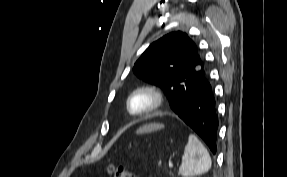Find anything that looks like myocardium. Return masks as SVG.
I'll return each instance as SVG.
<instances>
[{
    "label": "myocardium",
    "mask_w": 287,
    "mask_h": 177,
    "mask_svg": "<svg viewBox=\"0 0 287 177\" xmlns=\"http://www.w3.org/2000/svg\"><path fill=\"white\" fill-rule=\"evenodd\" d=\"M140 94L147 95L150 98L149 105L141 110L134 112L131 109L132 100ZM165 102L164 92L157 86L152 84H144L133 89L126 99V110L129 115L135 118H142L158 111Z\"/></svg>",
    "instance_id": "obj_1"
}]
</instances>
